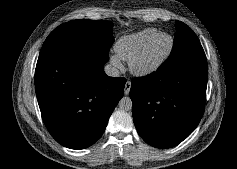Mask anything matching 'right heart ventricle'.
Listing matches in <instances>:
<instances>
[{
  "label": "right heart ventricle",
  "mask_w": 237,
  "mask_h": 169,
  "mask_svg": "<svg viewBox=\"0 0 237 169\" xmlns=\"http://www.w3.org/2000/svg\"><path fill=\"white\" fill-rule=\"evenodd\" d=\"M158 33L159 30L157 28H146L129 35H124L118 39L114 50L121 60L130 62Z\"/></svg>",
  "instance_id": "e07e8e85"
}]
</instances>
